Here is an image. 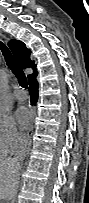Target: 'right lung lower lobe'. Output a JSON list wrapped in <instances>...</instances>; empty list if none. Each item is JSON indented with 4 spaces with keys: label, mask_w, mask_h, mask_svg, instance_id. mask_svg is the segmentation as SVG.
Masks as SVG:
<instances>
[{
    "label": "right lung lower lobe",
    "mask_w": 89,
    "mask_h": 203,
    "mask_svg": "<svg viewBox=\"0 0 89 203\" xmlns=\"http://www.w3.org/2000/svg\"><path fill=\"white\" fill-rule=\"evenodd\" d=\"M36 76L37 74L29 79V92L31 95V103H34V104L38 99V83L36 80Z\"/></svg>",
    "instance_id": "right-lung-lower-lobe-1"
}]
</instances>
